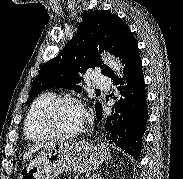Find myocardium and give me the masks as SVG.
<instances>
[{
	"mask_svg": "<svg viewBox=\"0 0 183 179\" xmlns=\"http://www.w3.org/2000/svg\"><path fill=\"white\" fill-rule=\"evenodd\" d=\"M66 103L74 104L82 110L83 121H82L81 125L73 132L59 133L52 126V122H51L52 116L60 105L66 104ZM88 120H89L88 112L81 100H79L75 97H72V96H58V97H55L53 100H51L49 102V104L45 107V109L43 110L41 119H40V124H41L43 131L51 138L71 139L82 133V131L85 129V127L88 123Z\"/></svg>",
	"mask_w": 183,
	"mask_h": 179,
	"instance_id": "f54148a6",
	"label": "myocardium"
}]
</instances>
